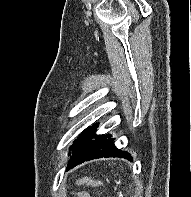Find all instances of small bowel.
Instances as JSON below:
<instances>
[{"label": "small bowel", "instance_id": "c3829d8e", "mask_svg": "<svg viewBox=\"0 0 191 197\" xmlns=\"http://www.w3.org/2000/svg\"><path fill=\"white\" fill-rule=\"evenodd\" d=\"M78 197H91V195L89 193L82 192V193L79 194Z\"/></svg>", "mask_w": 191, "mask_h": 197}]
</instances>
